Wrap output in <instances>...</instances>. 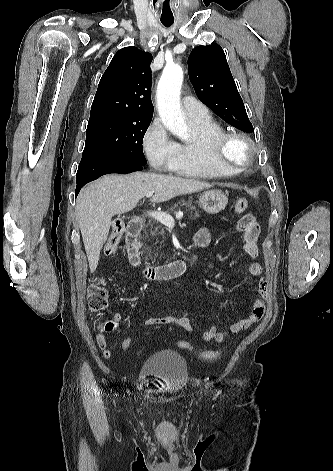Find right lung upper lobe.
I'll use <instances>...</instances> for the list:
<instances>
[{"instance_id": "right-lung-upper-lobe-1", "label": "right lung upper lobe", "mask_w": 333, "mask_h": 471, "mask_svg": "<svg viewBox=\"0 0 333 471\" xmlns=\"http://www.w3.org/2000/svg\"><path fill=\"white\" fill-rule=\"evenodd\" d=\"M151 62L150 53L134 46L120 49L99 82L90 117L109 113L153 116Z\"/></svg>"}]
</instances>
